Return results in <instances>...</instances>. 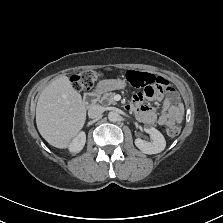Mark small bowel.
I'll use <instances>...</instances> for the list:
<instances>
[{
	"label": "small bowel",
	"mask_w": 223,
	"mask_h": 223,
	"mask_svg": "<svg viewBox=\"0 0 223 223\" xmlns=\"http://www.w3.org/2000/svg\"><path fill=\"white\" fill-rule=\"evenodd\" d=\"M161 79L165 82V89L163 91L166 92V96L163 100L162 110L159 116L152 107L144 103L145 98L154 100H160L162 98V92H154L150 88H145L144 92L135 94L129 108L136 113L141 121L147 124L157 123L169 128L182 121L184 108L177 103V93L168 81L163 78Z\"/></svg>",
	"instance_id": "1"
}]
</instances>
